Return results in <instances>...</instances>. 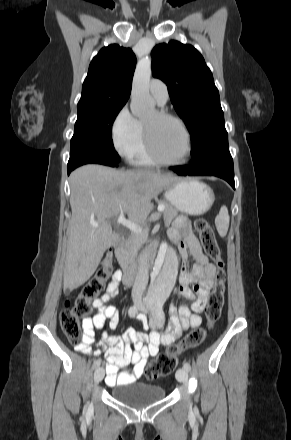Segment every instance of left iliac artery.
<instances>
[{"mask_svg": "<svg viewBox=\"0 0 291 440\" xmlns=\"http://www.w3.org/2000/svg\"><path fill=\"white\" fill-rule=\"evenodd\" d=\"M157 323H158L159 325L163 323V322H162V318L160 317V315H157ZM184 368H185L187 371H190L191 366H190L189 362H184Z\"/></svg>", "mask_w": 291, "mask_h": 440, "instance_id": "obj_1", "label": "left iliac artery"}]
</instances>
